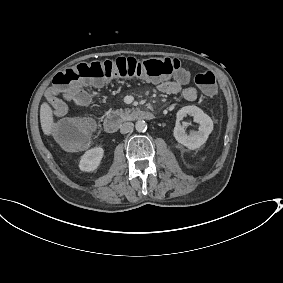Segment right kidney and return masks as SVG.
I'll return each mask as SVG.
<instances>
[{
	"label": "right kidney",
	"mask_w": 283,
	"mask_h": 283,
	"mask_svg": "<svg viewBox=\"0 0 283 283\" xmlns=\"http://www.w3.org/2000/svg\"><path fill=\"white\" fill-rule=\"evenodd\" d=\"M104 150L100 147L92 148L81 157L79 168L82 171L91 172L97 169L103 157Z\"/></svg>",
	"instance_id": "ca27d5eb"
}]
</instances>
